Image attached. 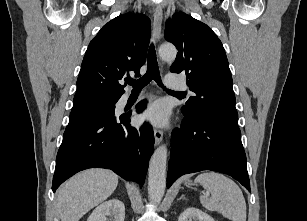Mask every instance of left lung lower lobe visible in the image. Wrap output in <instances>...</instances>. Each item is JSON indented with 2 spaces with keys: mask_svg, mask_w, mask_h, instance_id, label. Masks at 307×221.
<instances>
[{
  "mask_svg": "<svg viewBox=\"0 0 307 221\" xmlns=\"http://www.w3.org/2000/svg\"><path fill=\"white\" fill-rule=\"evenodd\" d=\"M201 170L230 175L251 191L240 130L205 115L185 116L172 132L167 187Z\"/></svg>",
  "mask_w": 307,
  "mask_h": 221,
  "instance_id": "0a47b994",
  "label": "left lung lower lobe"
}]
</instances>
